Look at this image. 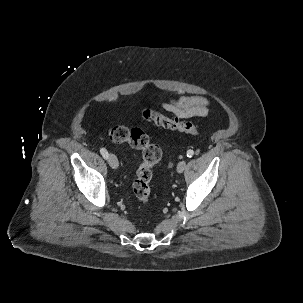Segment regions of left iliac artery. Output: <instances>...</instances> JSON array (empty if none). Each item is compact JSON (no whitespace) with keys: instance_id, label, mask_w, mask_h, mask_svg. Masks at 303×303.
<instances>
[{"instance_id":"obj_1","label":"left iliac artery","mask_w":303,"mask_h":303,"mask_svg":"<svg viewBox=\"0 0 303 303\" xmlns=\"http://www.w3.org/2000/svg\"><path fill=\"white\" fill-rule=\"evenodd\" d=\"M194 155V151L193 150H188L187 151V157H192Z\"/></svg>"}]
</instances>
